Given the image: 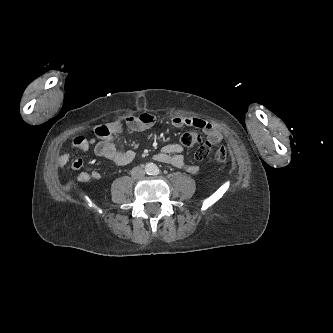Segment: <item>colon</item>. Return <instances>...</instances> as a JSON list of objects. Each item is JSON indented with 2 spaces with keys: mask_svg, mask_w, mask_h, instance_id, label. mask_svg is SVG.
Returning a JSON list of instances; mask_svg holds the SVG:
<instances>
[{
  "mask_svg": "<svg viewBox=\"0 0 333 333\" xmlns=\"http://www.w3.org/2000/svg\"><path fill=\"white\" fill-rule=\"evenodd\" d=\"M94 131L95 134L99 137L108 136L110 133L107 125H98L95 127ZM180 142L187 148L198 146L195 152V158L198 161H203L210 158L215 163H223L228 159V153L225 148H212L210 143L203 142L200 134L196 132L184 133L180 138Z\"/></svg>",
  "mask_w": 333,
  "mask_h": 333,
  "instance_id": "obj_1",
  "label": "colon"
}]
</instances>
